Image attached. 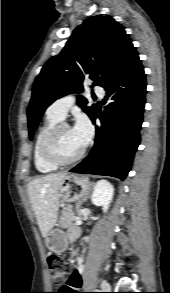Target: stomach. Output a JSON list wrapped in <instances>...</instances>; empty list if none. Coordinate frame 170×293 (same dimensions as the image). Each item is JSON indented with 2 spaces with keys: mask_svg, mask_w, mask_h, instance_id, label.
Wrapping results in <instances>:
<instances>
[{
  "mask_svg": "<svg viewBox=\"0 0 170 293\" xmlns=\"http://www.w3.org/2000/svg\"><path fill=\"white\" fill-rule=\"evenodd\" d=\"M91 183L86 176L67 174L60 186L59 201L61 203L80 201L90 190ZM47 248L62 254L68 247L66 234L61 229L50 230L45 238Z\"/></svg>",
  "mask_w": 170,
  "mask_h": 293,
  "instance_id": "1",
  "label": "stomach"
}]
</instances>
